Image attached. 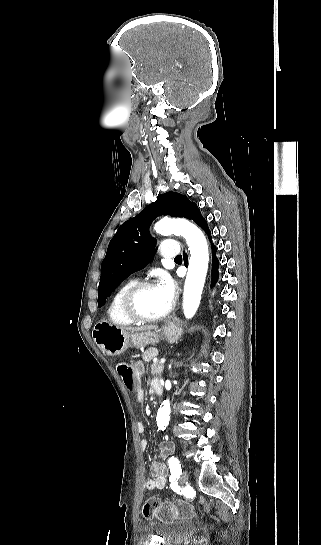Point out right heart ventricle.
<instances>
[{"label":"right heart ventricle","instance_id":"right-heart-ventricle-1","mask_svg":"<svg viewBox=\"0 0 321 545\" xmlns=\"http://www.w3.org/2000/svg\"><path fill=\"white\" fill-rule=\"evenodd\" d=\"M136 281L134 279H129L123 282L118 289L112 295L108 306H107V318L110 324L117 328H124L130 326L131 323L127 321L121 314L120 311V300L127 288L133 285Z\"/></svg>","mask_w":321,"mask_h":545}]
</instances>
